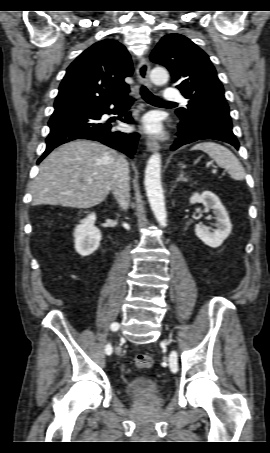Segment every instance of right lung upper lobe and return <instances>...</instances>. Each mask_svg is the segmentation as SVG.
Masks as SVG:
<instances>
[{
    "label": "right lung upper lobe",
    "mask_w": 270,
    "mask_h": 453,
    "mask_svg": "<svg viewBox=\"0 0 270 453\" xmlns=\"http://www.w3.org/2000/svg\"><path fill=\"white\" fill-rule=\"evenodd\" d=\"M133 72L126 48L102 40L81 53L67 68L59 87L55 110L110 102L129 91L124 78Z\"/></svg>",
    "instance_id": "right-lung-upper-lobe-1"
}]
</instances>
